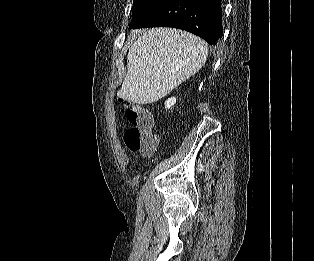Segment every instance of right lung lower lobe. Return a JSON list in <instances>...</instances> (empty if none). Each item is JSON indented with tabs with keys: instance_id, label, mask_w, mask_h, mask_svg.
<instances>
[{
	"instance_id": "obj_1",
	"label": "right lung lower lobe",
	"mask_w": 314,
	"mask_h": 261,
	"mask_svg": "<svg viewBox=\"0 0 314 261\" xmlns=\"http://www.w3.org/2000/svg\"><path fill=\"white\" fill-rule=\"evenodd\" d=\"M222 0H169L130 28L165 26L186 30L214 45L222 38Z\"/></svg>"
}]
</instances>
